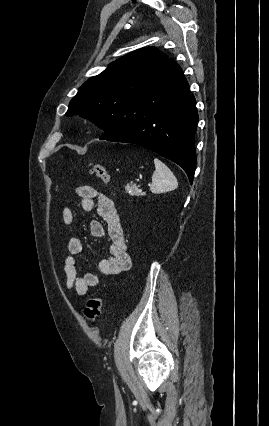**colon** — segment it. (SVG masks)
Wrapping results in <instances>:
<instances>
[{
    "mask_svg": "<svg viewBox=\"0 0 269 426\" xmlns=\"http://www.w3.org/2000/svg\"><path fill=\"white\" fill-rule=\"evenodd\" d=\"M90 172L104 183L110 182V175L104 165L93 163L90 165ZM103 310V299L101 296H91L86 303L84 314L88 320L94 322L101 315Z\"/></svg>",
    "mask_w": 269,
    "mask_h": 426,
    "instance_id": "obj_1",
    "label": "colon"
}]
</instances>
